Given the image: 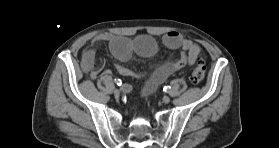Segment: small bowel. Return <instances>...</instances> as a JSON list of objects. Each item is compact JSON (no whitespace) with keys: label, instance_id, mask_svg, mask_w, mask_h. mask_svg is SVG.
<instances>
[{"label":"small bowel","instance_id":"small-bowel-1","mask_svg":"<svg viewBox=\"0 0 279 148\" xmlns=\"http://www.w3.org/2000/svg\"><path fill=\"white\" fill-rule=\"evenodd\" d=\"M162 42L168 49H181V55L176 59L163 63L148 75L147 82L142 90L144 96L153 93L167 78L186 65L195 64L200 53L198 44L176 31L166 33L162 38ZM104 43L109 44L112 54L122 62L130 60L134 55L149 58L158 51L157 42L150 36L129 39L118 37L111 33L98 34L84 50L80 63L82 71L90 74L92 79H96L102 71L103 65L97 61L96 55ZM115 68L123 76L134 75L133 71L121 64H115ZM125 88L127 90L131 89L129 85Z\"/></svg>","mask_w":279,"mask_h":148}]
</instances>
